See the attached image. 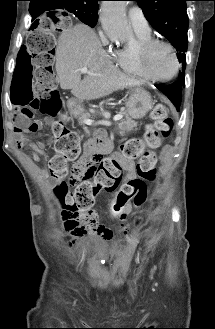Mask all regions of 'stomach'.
Returning a JSON list of instances; mask_svg holds the SVG:
<instances>
[{
  "mask_svg": "<svg viewBox=\"0 0 215 329\" xmlns=\"http://www.w3.org/2000/svg\"><path fill=\"white\" fill-rule=\"evenodd\" d=\"M154 103L149 92L143 88L131 89L130 96L126 102L127 114L133 119H141L152 109ZM67 107L72 114L83 112L82 102L79 99H70Z\"/></svg>",
  "mask_w": 215,
  "mask_h": 329,
  "instance_id": "obj_1",
  "label": "stomach"
}]
</instances>
